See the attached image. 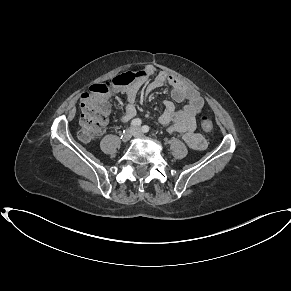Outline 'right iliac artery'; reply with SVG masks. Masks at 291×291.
Instances as JSON below:
<instances>
[{"instance_id": "1", "label": "right iliac artery", "mask_w": 291, "mask_h": 291, "mask_svg": "<svg viewBox=\"0 0 291 291\" xmlns=\"http://www.w3.org/2000/svg\"><path fill=\"white\" fill-rule=\"evenodd\" d=\"M141 124H142V121L139 118L134 119V120L131 121V126H133V127H138Z\"/></svg>"}]
</instances>
